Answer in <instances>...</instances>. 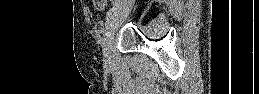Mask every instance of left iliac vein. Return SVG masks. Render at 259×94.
I'll return each mask as SVG.
<instances>
[{
	"mask_svg": "<svg viewBox=\"0 0 259 94\" xmlns=\"http://www.w3.org/2000/svg\"><path fill=\"white\" fill-rule=\"evenodd\" d=\"M120 20V13L118 11L107 20L106 32L102 41L103 57L106 63L111 61V51L115 32Z\"/></svg>",
	"mask_w": 259,
	"mask_h": 94,
	"instance_id": "1",
	"label": "left iliac vein"
}]
</instances>
